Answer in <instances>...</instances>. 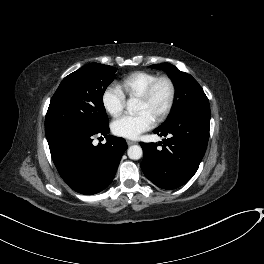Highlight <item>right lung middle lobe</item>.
I'll return each instance as SVG.
<instances>
[{
  "instance_id": "dd1d6c3e",
  "label": "right lung middle lobe",
  "mask_w": 264,
  "mask_h": 264,
  "mask_svg": "<svg viewBox=\"0 0 264 264\" xmlns=\"http://www.w3.org/2000/svg\"><path fill=\"white\" fill-rule=\"evenodd\" d=\"M116 71L112 66L91 63L66 76L50 101L46 134L64 128L96 131L108 124L103 94Z\"/></svg>"
}]
</instances>
